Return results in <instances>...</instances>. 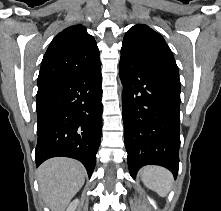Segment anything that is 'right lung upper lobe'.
Wrapping results in <instances>:
<instances>
[{
  "label": "right lung upper lobe",
  "mask_w": 221,
  "mask_h": 211,
  "mask_svg": "<svg viewBox=\"0 0 221 211\" xmlns=\"http://www.w3.org/2000/svg\"><path fill=\"white\" fill-rule=\"evenodd\" d=\"M101 66L95 39L82 25L64 29L50 43L41 63L38 87Z\"/></svg>",
  "instance_id": "obj_1"
}]
</instances>
